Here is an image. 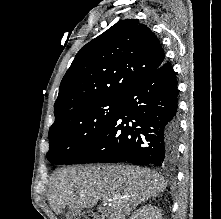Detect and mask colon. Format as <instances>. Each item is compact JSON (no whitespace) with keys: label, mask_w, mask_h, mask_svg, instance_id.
Segmentation results:
<instances>
[{"label":"colon","mask_w":221,"mask_h":219,"mask_svg":"<svg viewBox=\"0 0 221 219\" xmlns=\"http://www.w3.org/2000/svg\"><path fill=\"white\" fill-rule=\"evenodd\" d=\"M67 219H98V216L87 210H73L68 213Z\"/></svg>","instance_id":"5ec220e1"}]
</instances>
